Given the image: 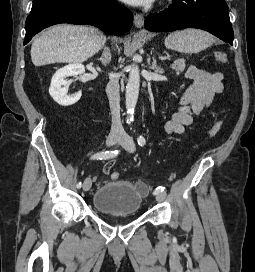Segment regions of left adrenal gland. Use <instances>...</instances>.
<instances>
[{"label": "left adrenal gland", "instance_id": "1", "mask_svg": "<svg viewBox=\"0 0 255 272\" xmlns=\"http://www.w3.org/2000/svg\"><path fill=\"white\" fill-rule=\"evenodd\" d=\"M152 60H153V62H152V65H151V69L156 73L163 74L164 70L161 67L157 66V62H156V59H155L154 56L152 57Z\"/></svg>", "mask_w": 255, "mask_h": 272}]
</instances>
